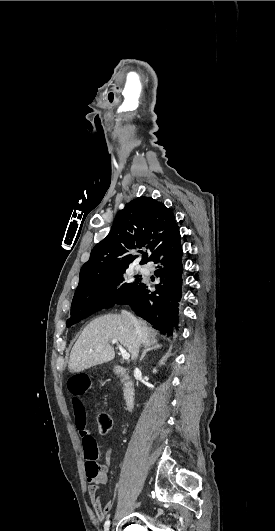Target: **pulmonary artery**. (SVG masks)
<instances>
[{"instance_id":"e3ab8cb5","label":"pulmonary artery","mask_w":275,"mask_h":531,"mask_svg":"<svg viewBox=\"0 0 275 531\" xmlns=\"http://www.w3.org/2000/svg\"><path fill=\"white\" fill-rule=\"evenodd\" d=\"M139 271L145 276H149V268L146 265L139 266Z\"/></svg>"}]
</instances>
